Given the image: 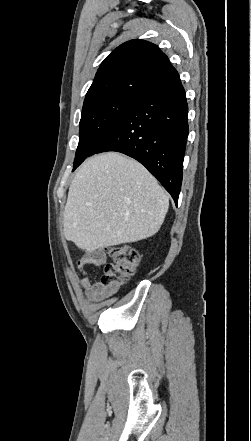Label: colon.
Instances as JSON below:
<instances>
[{"label":"colon","instance_id":"colon-1","mask_svg":"<svg viewBox=\"0 0 251 441\" xmlns=\"http://www.w3.org/2000/svg\"><path fill=\"white\" fill-rule=\"evenodd\" d=\"M112 260L104 267L101 283L119 287L135 274L140 261L139 252L133 247L121 244L108 249Z\"/></svg>","mask_w":251,"mask_h":441}]
</instances>
